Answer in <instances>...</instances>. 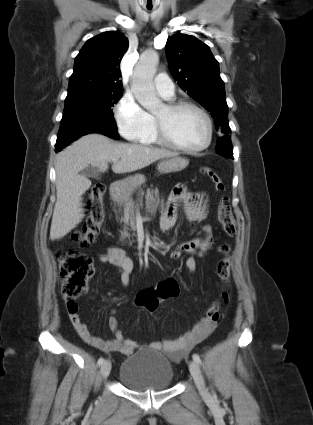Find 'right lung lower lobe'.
Here are the masks:
<instances>
[{
	"label": "right lung lower lobe",
	"mask_w": 313,
	"mask_h": 425,
	"mask_svg": "<svg viewBox=\"0 0 313 425\" xmlns=\"http://www.w3.org/2000/svg\"><path fill=\"white\" fill-rule=\"evenodd\" d=\"M90 133H100L114 139H119L113 117H104L97 113L73 109L64 112L55 151L59 152L71 142Z\"/></svg>",
	"instance_id": "obj_1"
}]
</instances>
